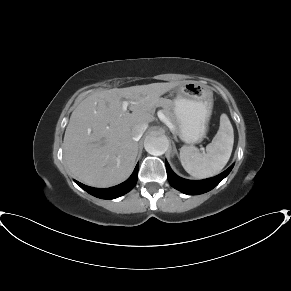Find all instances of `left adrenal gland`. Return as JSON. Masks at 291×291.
<instances>
[{"instance_id": "1", "label": "left adrenal gland", "mask_w": 291, "mask_h": 291, "mask_svg": "<svg viewBox=\"0 0 291 291\" xmlns=\"http://www.w3.org/2000/svg\"><path fill=\"white\" fill-rule=\"evenodd\" d=\"M174 152H175L176 154H178V153H177V149H176L175 145H174Z\"/></svg>"}]
</instances>
